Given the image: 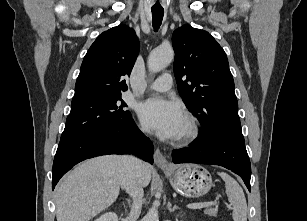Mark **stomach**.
I'll list each match as a JSON object with an SVG mask.
<instances>
[{
    "instance_id": "stomach-1",
    "label": "stomach",
    "mask_w": 307,
    "mask_h": 221,
    "mask_svg": "<svg viewBox=\"0 0 307 221\" xmlns=\"http://www.w3.org/2000/svg\"><path fill=\"white\" fill-rule=\"evenodd\" d=\"M165 171L170 175L173 188L186 197L203 196L212 187L210 173L200 165L181 164Z\"/></svg>"
}]
</instances>
